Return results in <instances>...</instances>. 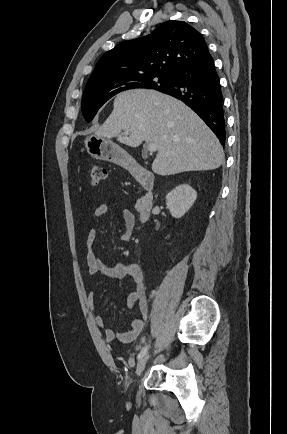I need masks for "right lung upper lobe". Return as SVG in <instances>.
Wrapping results in <instances>:
<instances>
[{"label": "right lung upper lobe", "instance_id": "obj_1", "mask_svg": "<svg viewBox=\"0 0 287 434\" xmlns=\"http://www.w3.org/2000/svg\"><path fill=\"white\" fill-rule=\"evenodd\" d=\"M208 54L207 44L196 29L186 22L171 20L147 36L122 42L107 51L87 83L147 74L176 77Z\"/></svg>", "mask_w": 287, "mask_h": 434}]
</instances>
